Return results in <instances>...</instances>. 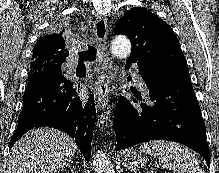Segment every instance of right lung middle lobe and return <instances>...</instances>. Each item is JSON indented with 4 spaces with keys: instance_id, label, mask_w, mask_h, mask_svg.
Here are the masks:
<instances>
[{
    "instance_id": "obj_1",
    "label": "right lung middle lobe",
    "mask_w": 219,
    "mask_h": 173,
    "mask_svg": "<svg viewBox=\"0 0 219 173\" xmlns=\"http://www.w3.org/2000/svg\"><path fill=\"white\" fill-rule=\"evenodd\" d=\"M49 67L61 70V66L60 65H52V66H49Z\"/></svg>"
}]
</instances>
